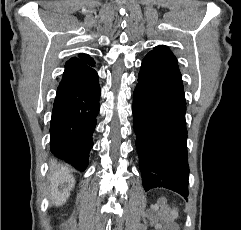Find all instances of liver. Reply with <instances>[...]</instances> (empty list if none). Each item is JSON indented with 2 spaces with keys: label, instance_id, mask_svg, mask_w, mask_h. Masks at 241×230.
I'll return each instance as SVG.
<instances>
[{
  "label": "liver",
  "instance_id": "6515ba94",
  "mask_svg": "<svg viewBox=\"0 0 241 230\" xmlns=\"http://www.w3.org/2000/svg\"><path fill=\"white\" fill-rule=\"evenodd\" d=\"M50 167L52 171V183H53V190H52V200L55 206L63 205L68 197L70 190L74 186V178L72 177L70 170L66 166H57L55 161L50 162ZM68 183V188L64 189L63 193L58 191L59 184Z\"/></svg>",
  "mask_w": 241,
  "mask_h": 230
}]
</instances>
